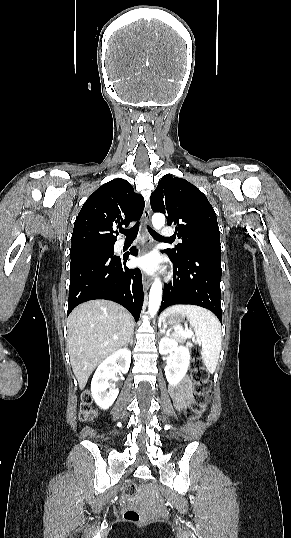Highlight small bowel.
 <instances>
[{"instance_id":"small-bowel-1","label":"small bowel","mask_w":291,"mask_h":538,"mask_svg":"<svg viewBox=\"0 0 291 538\" xmlns=\"http://www.w3.org/2000/svg\"><path fill=\"white\" fill-rule=\"evenodd\" d=\"M175 397L180 402H187L191 394V382L185 379L183 383L175 389Z\"/></svg>"}]
</instances>
